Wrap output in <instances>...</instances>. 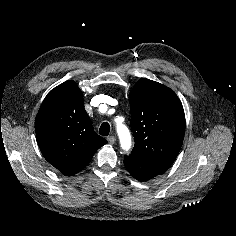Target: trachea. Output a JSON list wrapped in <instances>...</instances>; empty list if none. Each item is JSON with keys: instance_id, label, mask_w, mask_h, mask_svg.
Wrapping results in <instances>:
<instances>
[{"instance_id": "3493384b", "label": "trachea", "mask_w": 236, "mask_h": 236, "mask_svg": "<svg viewBox=\"0 0 236 236\" xmlns=\"http://www.w3.org/2000/svg\"><path fill=\"white\" fill-rule=\"evenodd\" d=\"M110 132V125L107 122L101 124L99 134L102 136H108Z\"/></svg>"}]
</instances>
